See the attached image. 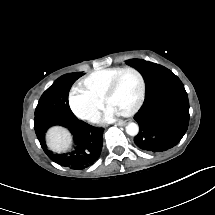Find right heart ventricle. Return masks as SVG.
<instances>
[{"instance_id": "e07e8e85", "label": "right heart ventricle", "mask_w": 215, "mask_h": 215, "mask_svg": "<svg viewBox=\"0 0 215 215\" xmlns=\"http://www.w3.org/2000/svg\"><path fill=\"white\" fill-rule=\"evenodd\" d=\"M120 69L119 67H113L105 70L94 71L88 74L81 81V90L83 93L88 94L91 97L101 95L106 91L111 82L114 79V73Z\"/></svg>"}]
</instances>
